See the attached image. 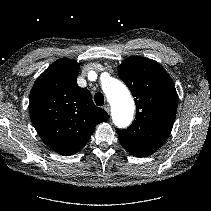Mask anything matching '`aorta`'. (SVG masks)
<instances>
[{
    "label": "aorta",
    "instance_id": "obj_1",
    "mask_svg": "<svg viewBox=\"0 0 211 211\" xmlns=\"http://www.w3.org/2000/svg\"><path fill=\"white\" fill-rule=\"evenodd\" d=\"M101 83L103 91L114 105V123L120 128L127 127L133 119L135 110L129 90L123 83L112 77H106Z\"/></svg>",
    "mask_w": 211,
    "mask_h": 211
}]
</instances>
